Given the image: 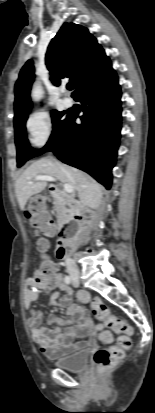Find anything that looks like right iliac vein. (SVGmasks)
Returning a JSON list of instances; mask_svg holds the SVG:
<instances>
[{"mask_svg": "<svg viewBox=\"0 0 155 413\" xmlns=\"http://www.w3.org/2000/svg\"><path fill=\"white\" fill-rule=\"evenodd\" d=\"M79 277H80V274H79L78 272H74V273L72 274V278H73L74 280H78Z\"/></svg>", "mask_w": 155, "mask_h": 413, "instance_id": "63e3f726", "label": "right iliac vein"}]
</instances>
